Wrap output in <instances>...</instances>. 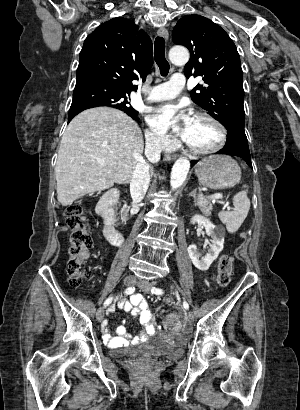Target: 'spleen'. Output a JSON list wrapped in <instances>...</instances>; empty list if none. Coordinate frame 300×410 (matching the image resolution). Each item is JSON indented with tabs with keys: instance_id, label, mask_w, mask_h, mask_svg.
Instances as JSON below:
<instances>
[{
	"instance_id": "1",
	"label": "spleen",
	"mask_w": 300,
	"mask_h": 410,
	"mask_svg": "<svg viewBox=\"0 0 300 410\" xmlns=\"http://www.w3.org/2000/svg\"><path fill=\"white\" fill-rule=\"evenodd\" d=\"M243 187L247 188L246 185ZM247 193V190H243L233 197V211L220 212L218 214L219 219L226 225L229 233H235L239 229L249 212L250 199Z\"/></svg>"
}]
</instances>
